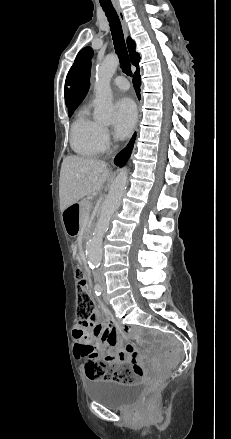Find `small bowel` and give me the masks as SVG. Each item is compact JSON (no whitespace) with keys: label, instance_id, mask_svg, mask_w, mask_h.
<instances>
[{"label":"small bowel","instance_id":"c3829d8e","mask_svg":"<svg viewBox=\"0 0 231 439\" xmlns=\"http://www.w3.org/2000/svg\"><path fill=\"white\" fill-rule=\"evenodd\" d=\"M87 291L92 292L90 284L87 285ZM100 319L101 312L96 311L89 322H78L74 326L75 357L87 360L90 358L89 354L92 353L95 358L101 357L107 362L113 361L119 365H138L142 372L146 355L138 354L132 343H118L117 332L112 328L109 320L100 323Z\"/></svg>","mask_w":231,"mask_h":439}]
</instances>
